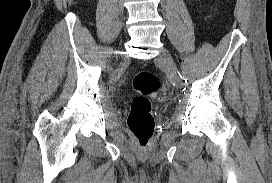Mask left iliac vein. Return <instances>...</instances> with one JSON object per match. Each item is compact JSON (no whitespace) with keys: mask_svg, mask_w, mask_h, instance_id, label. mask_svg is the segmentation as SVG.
I'll list each match as a JSON object with an SVG mask.
<instances>
[{"mask_svg":"<svg viewBox=\"0 0 272 183\" xmlns=\"http://www.w3.org/2000/svg\"><path fill=\"white\" fill-rule=\"evenodd\" d=\"M156 61L165 68L170 78L175 82L176 86L181 87L182 81L177 76V66L170 52L163 48L156 58Z\"/></svg>","mask_w":272,"mask_h":183,"instance_id":"obj_1","label":"left iliac vein"}]
</instances>
